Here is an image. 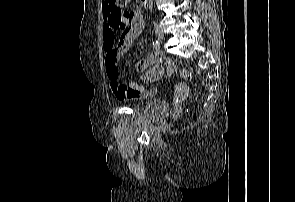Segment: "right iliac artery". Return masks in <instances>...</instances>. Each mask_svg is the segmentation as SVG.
<instances>
[{
  "label": "right iliac artery",
  "instance_id": "obj_1",
  "mask_svg": "<svg viewBox=\"0 0 295 202\" xmlns=\"http://www.w3.org/2000/svg\"><path fill=\"white\" fill-rule=\"evenodd\" d=\"M153 46L157 49L159 48V42L156 40L153 42Z\"/></svg>",
  "mask_w": 295,
  "mask_h": 202
}]
</instances>
